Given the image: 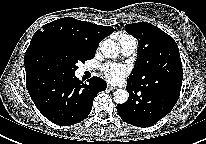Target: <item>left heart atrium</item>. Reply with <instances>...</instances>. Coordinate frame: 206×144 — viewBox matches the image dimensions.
Here are the masks:
<instances>
[{
    "label": "left heart atrium",
    "mask_w": 206,
    "mask_h": 144,
    "mask_svg": "<svg viewBox=\"0 0 206 144\" xmlns=\"http://www.w3.org/2000/svg\"><path fill=\"white\" fill-rule=\"evenodd\" d=\"M104 77L111 83H119L128 75L125 65L109 63L102 68Z\"/></svg>",
    "instance_id": "39dd6f15"
}]
</instances>
